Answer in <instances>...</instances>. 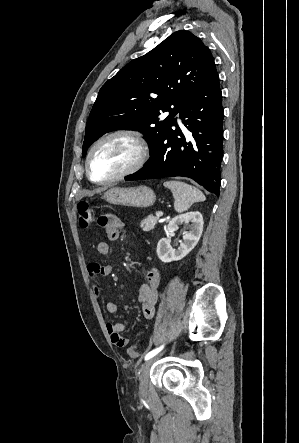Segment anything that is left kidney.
I'll list each match as a JSON object with an SVG mask.
<instances>
[{
    "instance_id": "5707ae66",
    "label": "left kidney",
    "mask_w": 299,
    "mask_h": 443,
    "mask_svg": "<svg viewBox=\"0 0 299 443\" xmlns=\"http://www.w3.org/2000/svg\"><path fill=\"white\" fill-rule=\"evenodd\" d=\"M190 222V231L185 232L183 241L177 249L171 247V241L169 238H162L159 240L157 244V255L162 262L169 263L181 260L195 248L203 232L204 222L203 216L200 212H188L174 217L169 222L167 229L168 232H174L180 225L189 224Z\"/></svg>"
}]
</instances>
